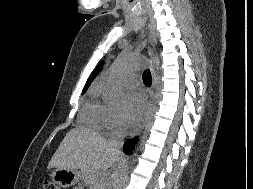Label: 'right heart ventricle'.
I'll use <instances>...</instances> for the list:
<instances>
[{
  "mask_svg": "<svg viewBox=\"0 0 253 189\" xmlns=\"http://www.w3.org/2000/svg\"><path fill=\"white\" fill-rule=\"evenodd\" d=\"M99 89L94 88L89 95L88 100L84 104L80 118L88 127L99 130L104 127L105 122V106L99 101Z\"/></svg>",
  "mask_w": 253,
  "mask_h": 189,
  "instance_id": "right-heart-ventricle-1",
  "label": "right heart ventricle"
}]
</instances>
